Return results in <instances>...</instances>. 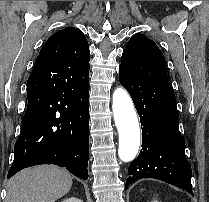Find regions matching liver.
<instances>
[{"instance_id":"6515ba94","label":"liver","mask_w":209,"mask_h":202,"mask_svg":"<svg viewBox=\"0 0 209 202\" xmlns=\"http://www.w3.org/2000/svg\"><path fill=\"white\" fill-rule=\"evenodd\" d=\"M72 183L70 173L56 166L25 169L9 180L5 202H55Z\"/></svg>"}]
</instances>
